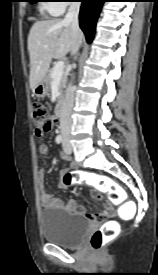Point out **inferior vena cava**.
Segmentation results:
<instances>
[{"label": "inferior vena cava", "mask_w": 158, "mask_h": 275, "mask_svg": "<svg viewBox=\"0 0 158 275\" xmlns=\"http://www.w3.org/2000/svg\"><path fill=\"white\" fill-rule=\"evenodd\" d=\"M79 10H80V3L72 2L63 20L64 23H67L70 25V28L72 31V48H71L72 55H75L78 52L81 44V40L78 37V33L80 31L79 20H78ZM74 100H75V89L74 87L69 86L66 90L65 99H64V102L61 108V114H60V129L63 137L70 136L71 125H72L71 113L74 105Z\"/></svg>", "instance_id": "1"}]
</instances>
